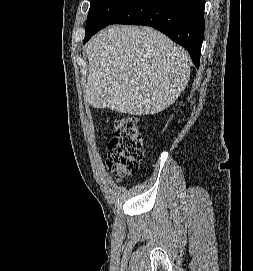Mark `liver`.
Wrapping results in <instances>:
<instances>
[{
	"mask_svg": "<svg viewBox=\"0 0 253 271\" xmlns=\"http://www.w3.org/2000/svg\"><path fill=\"white\" fill-rule=\"evenodd\" d=\"M86 101L97 109L154 115L185 89L188 53L150 27L112 25L87 44Z\"/></svg>",
	"mask_w": 253,
	"mask_h": 271,
	"instance_id": "liver-1",
	"label": "liver"
}]
</instances>
